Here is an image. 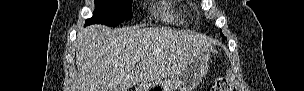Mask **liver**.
<instances>
[{
    "mask_svg": "<svg viewBox=\"0 0 304 91\" xmlns=\"http://www.w3.org/2000/svg\"><path fill=\"white\" fill-rule=\"evenodd\" d=\"M201 51L215 49L190 31L89 26L78 36V72L71 91H128L137 83L158 84ZM135 56L141 58L136 66Z\"/></svg>",
    "mask_w": 304,
    "mask_h": 91,
    "instance_id": "1",
    "label": "liver"
}]
</instances>
